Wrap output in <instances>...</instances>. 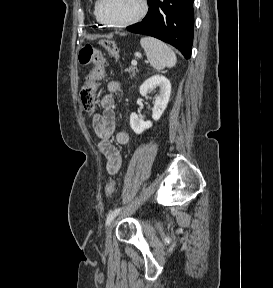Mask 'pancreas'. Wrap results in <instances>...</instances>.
<instances>
[{
	"label": "pancreas",
	"mask_w": 273,
	"mask_h": 288,
	"mask_svg": "<svg viewBox=\"0 0 273 288\" xmlns=\"http://www.w3.org/2000/svg\"><path fill=\"white\" fill-rule=\"evenodd\" d=\"M137 71L138 70L134 66H131L129 69L126 70V72L131 74L132 78H134L136 76Z\"/></svg>",
	"instance_id": "pancreas-1"
}]
</instances>
